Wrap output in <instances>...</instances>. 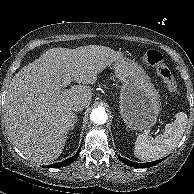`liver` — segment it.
I'll return each mask as SVG.
<instances>
[{
	"mask_svg": "<svg viewBox=\"0 0 194 194\" xmlns=\"http://www.w3.org/2000/svg\"><path fill=\"white\" fill-rule=\"evenodd\" d=\"M123 58V53L99 45L52 48L23 67L13 77L4 105L13 144L32 162L56 160L75 121L73 105L82 102L88 107L92 99L89 86L96 82L97 74ZM67 77L79 85L61 90Z\"/></svg>",
	"mask_w": 194,
	"mask_h": 194,
	"instance_id": "liver-1",
	"label": "liver"
}]
</instances>
